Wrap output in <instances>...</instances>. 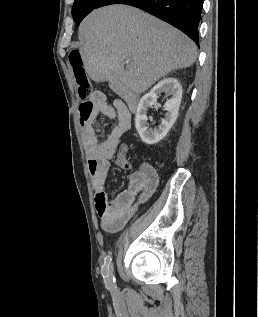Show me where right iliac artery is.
<instances>
[{
    "instance_id": "right-iliac-artery-1",
    "label": "right iliac artery",
    "mask_w": 258,
    "mask_h": 317,
    "mask_svg": "<svg viewBox=\"0 0 258 317\" xmlns=\"http://www.w3.org/2000/svg\"><path fill=\"white\" fill-rule=\"evenodd\" d=\"M104 283H105V287L110 291L111 294L116 292L117 286H116V279H115L113 265H111V269H110V278L109 280H106Z\"/></svg>"
}]
</instances>
